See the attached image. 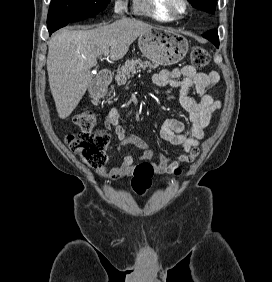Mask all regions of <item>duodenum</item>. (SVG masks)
<instances>
[{
	"label": "duodenum",
	"mask_w": 272,
	"mask_h": 282,
	"mask_svg": "<svg viewBox=\"0 0 272 282\" xmlns=\"http://www.w3.org/2000/svg\"><path fill=\"white\" fill-rule=\"evenodd\" d=\"M112 75L108 71H104L100 76L90 85L89 93L94 101H99L103 98L106 88L110 83Z\"/></svg>",
	"instance_id": "410a0bca"
}]
</instances>
